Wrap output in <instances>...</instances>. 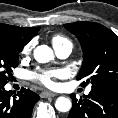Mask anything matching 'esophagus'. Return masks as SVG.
<instances>
[{"instance_id":"obj_1","label":"esophagus","mask_w":118,"mask_h":118,"mask_svg":"<svg viewBox=\"0 0 118 118\" xmlns=\"http://www.w3.org/2000/svg\"><path fill=\"white\" fill-rule=\"evenodd\" d=\"M57 94L53 93V92H49V91H43L40 96L43 98H47V97H55Z\"/></svg>"}]
</instances>
